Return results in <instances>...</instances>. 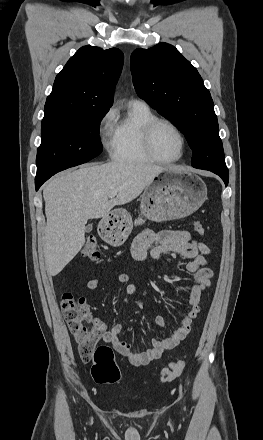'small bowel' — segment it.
I'll return each instance as SVG.
<instances>
[{
  "label": "small bowel",
  "instance_id": "c3829d8e",
  "mask_svg": "<svg viewBox=\"0 0 263 440\" xmlns=\"http://www.w3.org/2000/svg\"><path fill=\"white\" fill-rule=\"evenodd\" d=\"M131 253L137 261H143L148 255H151L155 260L151 266L152 271H156L161 264L160 258L163 254L176 253L189 260L185 264V269L193 273L195 278V284L191 287L190 296L187 299L189 310L182 319L181 325L166 337L153 338L151 346L145 351H134L128 342L120 339L121 325L117 324L108 329L105 322L94 318V326L102 340L111 344L115 351L126 357L131 364L141 366L158 359L164 351L173 349L190 332L192 323L200 312L202 294L210 286L213 277V272L207 266L208 261L205 257L211 253V249L206 244L193 239L187 231L155 232L145 230L134 239ZM116 282L124 286L126 297L136 294V287L130 282L128 274L118 275ZM100 284L99 277H91L87 281L86 287L90 291H95L100 287ZM156 321L160 326L165 325L162 316H157Z\"/></svg>",
  "mask_w": 263,
  "mask_h": 440
}]
</instances>
